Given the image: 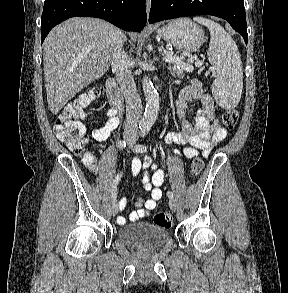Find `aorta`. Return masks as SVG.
<instances>
[{"label": "aorta", "instance_id": "aorta-1", "mask_svg": "<svg viewBox=\"0 0 288 293\" xmlns=\"http://www.w3.org/2000/svg\"><path fill=\"white\" fill-rule=\"evenodd\" d=\"M142 87L146 99V107L139 126L142 131H148L153 126L159 113V94L148 77L142 80Z\"/></svg>", "mask_w": 288, "mask_h": 293}]
</instances>
